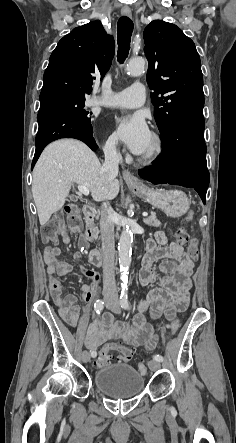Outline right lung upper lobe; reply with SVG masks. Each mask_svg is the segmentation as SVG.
Wrapping results in <instances>:
<instances>
[{
  "instance_id": "cb5924a9",
  "label": "right lung upper lobe",
  "mask_w": 236,
  "mask_h": 443,
  "mask_svg": "<svg viewBox=\"0 0 236 443\" xmlns=\"http://www.w3.org/2000/svg\"><path fill=\"white\" fill-rule=\"evenodd\" d=\"M114 47L113 37L100 21L74 28L50 56L40 102L56 94H90L95 76L102 79L109 70Z\"/></svg>"
}]
</instances>
